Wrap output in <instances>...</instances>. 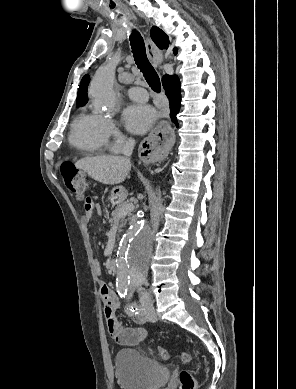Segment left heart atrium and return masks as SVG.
Here are the masks:
<instances>
[{
	"mask_svg": "<svg viewBox=\"0 0 296 389\" xmlns=\"http://www.w3.org/2000/svg\"><path fill=\"white\" fill-rule=\"evenodd\" d=\"M123 119L126 128L134 134L147 132L156 120L154 108L145 104H132L125 108Z\"/></svg>",
	"mask_w": 296,
	"mask_h": 389,
	"instance_id": "obj_1",
	"label": "left heart atrium"
}]
</instances>
